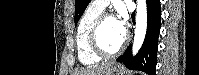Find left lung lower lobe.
I'll return each instance as SVG.
<instances>
[{
    "instance_id": "1",
    "label": "left lung lower lobe",
    "mask_w": 199,
    "mask_h": 75,
    "mask_svg": "<svg viewBox=\"0 0 199 75\" xmlns=\"http://www.w3.org/2000/svg\"><path fill=\"white\" fill-rule=\"evenodd\" d=\"M147 4V31L141 49L138 54L132 58L131 45L126 49L123 55L117 58L127 68L140 70L148 75H156L158 36L160 32L161 7L160 0H146ZM132 20H135V14H132Z\"/></svg>"
}]
</instances>
